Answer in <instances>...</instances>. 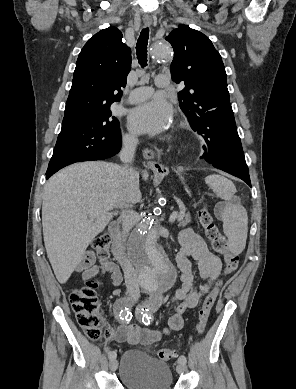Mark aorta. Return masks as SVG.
I'll return each instance as SVG.
<instances>
[{
    "label": "aorta",
    "mask_w": 296,
    "mask_h": 389,
    "mask_svg": "<svg viewBox=\"0 0 296 389\" xmlns=\"http://www.w3.org/2000/svg\"><path fill=\"white\" fill-rule=\"evenodd\" d=\"M172 51L165 42L156 43L149 53L151 62H171ZM129 255L134 262L140 286L150 294L170 289L176 271L159 242L154 221L145 217L131 234L128 241Z\"/></svg>",
    "instance_id": "762f6f07"
}]
</instances>
